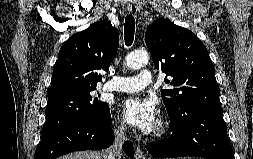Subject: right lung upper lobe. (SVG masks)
<instances>
[{
    "label": "right lung upper lobe",
    "instance_id": "1",
    "mask_svg": "<svg viewBox=\"0 0 253 159\" xmlns=\"http://www.w3.org/2000/svg\"><path fill=\"white\" fill-rule=\"evenodd\" d=\"M119 47L118 30L106 20L71 36L61 47L48 98L96 89Z\"/></svg>",
    "mask_w": 253,
    "mask_h": 159
}]
</instances>
